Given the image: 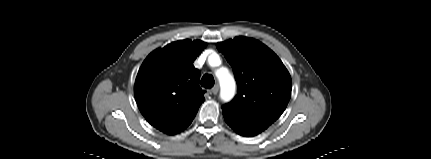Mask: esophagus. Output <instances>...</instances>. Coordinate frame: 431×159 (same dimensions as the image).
<instances>
[{
	"label": "esophagus",
	"mask_w": 431,
	"mask_h": 159,
	"mask_svg": "<svg viewBox=\"0 0 431 159\" xmlns=\"http://www.w3.org/2000/svg\"><path fill=\"white\" fill-rule=\"evenodd\" d=\"M219 91V86L215 85L211 90H210V94L216 95Z\"/></svg>",
	"instance_id": "34e87169"
}]
</instances>
